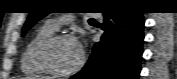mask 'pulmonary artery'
<instances>
[{"label": "pulmonary artery", "instance_id": "obj_1", "mask_svg": "<svg viewBox=\"0 0 177 79\" xmlns=\"http://www.w3.org/2000/svg\"><path fill=\"white\" fill-rule=\"evenodd\" d=\"M73 18L74 16L72 14H62L59 20H51L47 24L57 30L62 24L71 22Z\"/></svg>", "mask_w": 177, "mask_h": 79}]
</instances>
